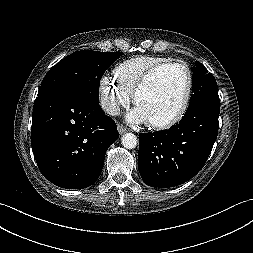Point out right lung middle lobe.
I'll return each mask as SVG.
<instances>
[{"label":"right lung middle lobe","mask_w":253,"mask_h":253,"mask_svg":"<svg viewBox=\"0 0 253 253\" xmlns=\"http://www.w3.org/2000/svg\"><path fill=\"white\" fill-rule=\"evenodd\" d=\"M122 54L90 50L74 52L48 71L38 96L50 91H61L98 103L99 81L107 68Z\"/></svg>","instance_id":"dd1d6c3e"}]
</instances>
